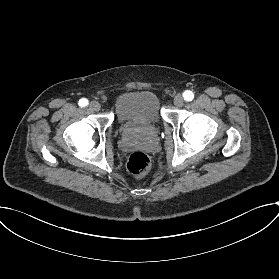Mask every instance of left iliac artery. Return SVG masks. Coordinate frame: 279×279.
<instances>
[{
  "instance_id": "left-iliac-artery-1",
  "label": "left iliac artery",
  "mask_w": 279,
  "mask_h": 279,
  "mask_svg": "<svg viewBox=\"0 0 279 279\" xmlns=\"http://www.w3.org/2000/svg\"><path fill=\"white\" fill-rule=\"evenodd\" d=\"M183 97H184V99H185L186 101H192L193 98H194V94H193L192 91L187 90V91H185V92L183 93Z\"/></svg>"
}]
</instances>
